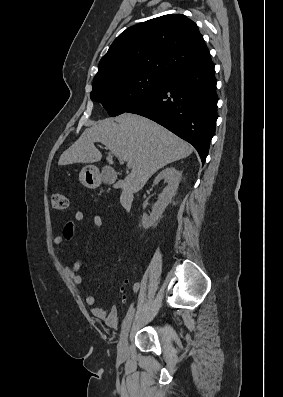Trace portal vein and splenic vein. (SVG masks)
Returning a JSON list of instances; mask_svg holds the SVG:
<instances>
[{"label":"portal vein and splenic vein","mask_w":283,"mask_h":397,"mask_svg":"<svg viewBox=\"0 0 283 397\" xmlns=\"http://www.w3.org/2000/svg\"><path fill=\"white\" fill-rule=\"evenodd\" d=\"M119 161H120L121 163H124V162L126 161V159L119 157ZM127 167H128V168L130 167V163H127Z\"/></svg>","instance_id":"18ae733b"}]
</instances>
